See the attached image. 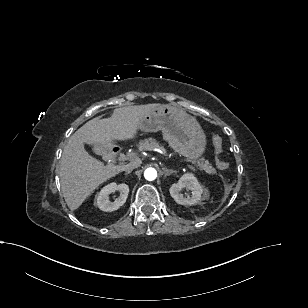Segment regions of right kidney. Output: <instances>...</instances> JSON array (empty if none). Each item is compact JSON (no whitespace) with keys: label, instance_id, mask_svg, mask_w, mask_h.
I'll use <instances>...</instances> for the list:
<instances>
[{"label":"right kidney","instance_id":"right-kidney-1","mask_svg":"<svg viewBox=\"0 0 308 308\" xmlns=\"http://www.w3.org/2000/svg\"><path fill=\"white\" fill-rule=\"evenodd\" d=\"M119 191L120 196L116 198L114 202L109 201V194L112 192ZM129 187L127 184L121 183H110L103 187L96 197V204L100 210L105 212H112L120 208L128 197Z\"/></svg>","mask_w":308,"mask_h":308}]
</instances>
